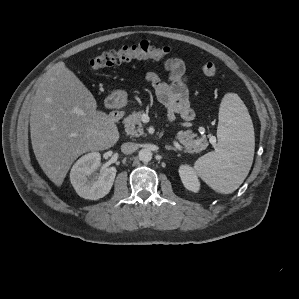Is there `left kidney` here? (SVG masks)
Here are the masks:
<instances>
[{"mask_svg":"<svg viewBox=\"0 0 299 299\" xmlns=\"http://www.w3.org/2000/svg\"><path fill=\"white\" fill-rule=\"evenodd\" d=\"M179 175L185 188L193 192H197L199 190V180L191 167L187 165L180 166Z\"/></svg>","mask_w":299,"mask_h":299,"instance_id":"left-kidney-1","label":"left kidney"}]
</instances>
